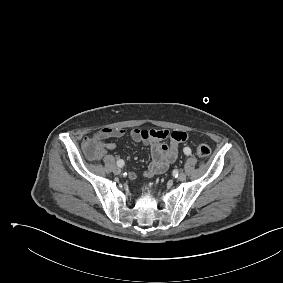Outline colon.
I'll use <instances>...</instances> for the list:
<instances>
[{"mask_svg":"<svg viewBox=\"0 0 283 283\" xmlns=\"http://www.w3.org/2000/svg\"><path fill=\"white\" fill-rule=\"evenodd\" d=\"M83 147L91 159H98L102 155V145L94 137L86 138L83 142ZM196 153L201 158H207L211 153V149L207 144H198L196 146Z\"/></svg>","mask_w":283,"mask_h":283,"instance_id":"5ec220e1","label":"colon"}]
</instances>
